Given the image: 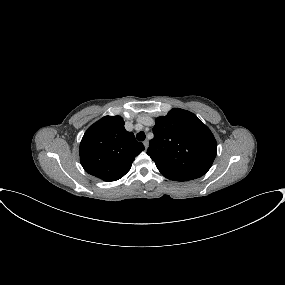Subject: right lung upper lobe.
I'll list each match as a JSON object with an SVG mask.
<instances>
[{"label": "right lung upper lobe", "instance_id": "obj_1", "mask_svg": "<svg viewBox=\"0 0 285 285\" xmlns=\"http://www.w3.org/2000/svg\"><path fill=\"white\" fill-rule=\"evenodd\" d=\"M143 150L144 145L125 130L121 116H105L90 126L79 149L84 170L104 181L122 178Z\"/></svg>", "mask_w": 285, "mask_h": 285}]
</instances>
